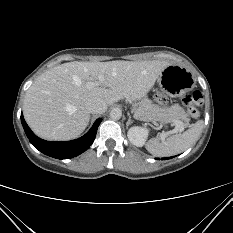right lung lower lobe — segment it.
Returning <instances> with one entry per match:
<instances>
[{
	"instance_id": "1",
	"label": "right lung lower lobe",
	"mask_w": 233,
	"mask_h": 233,
	"mask_svg": "<svg viewBox=\"0 0 233 233\" xmlns=\"http://www.w3.org/2000/svg\"><path fill=\"white\" fill-rule=\"evenodd\" d=\"M101 121V118L97 119L91 129L79 139L66 142H51L37 137L28 127L21 114V122L30 143L45 155L57 159L73 158L86 151L93 143Z\"/></svg>"
}]
</instances>
